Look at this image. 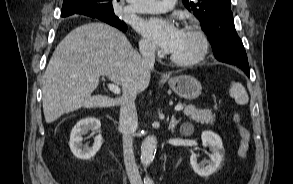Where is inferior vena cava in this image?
<instances>
[{"mask_svg": "<svg viewBox=\"0 0 293 184\" xmlns=\"http://www.w3.org/2000/svg\"><path fill=\"white\" fill-rule=\"evenodd\" d=\"M139 50L144 64L153 67L155 63V47L149 43H141ZM135 99V93H127L123 96L120 103L119 125L123 135L124 163L130 184H142L133 152V135L138 126Z\"/></svg>", "mask_w": 293, "mask_h": 184, "instance_id": "1", "label": "inferior vena cava"}]
</instances>
